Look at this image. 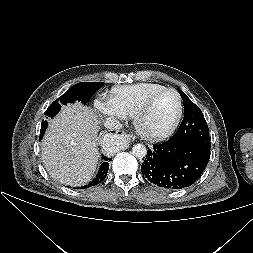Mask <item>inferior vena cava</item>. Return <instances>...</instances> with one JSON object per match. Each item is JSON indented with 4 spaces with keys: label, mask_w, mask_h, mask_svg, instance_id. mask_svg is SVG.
I'll list each match as a JSON object with an SVG mask.
<instances>
[{
    "label": "inferior vena cava",
    "mask_w": 253,
    "mask_h": 253,
    "mask_svg": "<svg viewBox=\"0 0 253 253\" xmlns=\"http://www.w3.org/2000/svg\"><path fill=\"white\" fill-rule=\"evenodd\" d=\"M104 126L108 129L117 130L122 127V124L114 117H108L105 122Z\"/></svg>",
    "instance_id": "1"
}]
</instances>
